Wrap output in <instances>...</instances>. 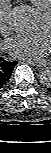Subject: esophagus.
Here are the masks:
<instances>
[{"label": "esophagus", "instance_id": "1", "mask_svg": "<svg viewBox=\"0 0 51 153\" xmlns=\"http://www.w3.org/2000/svg\"><path fill=\"white\" fill-rule=\"evenodd\" d=\"M25 61L28 62L29 64L36 65L39 67L48 66L50 64V62H48L47 60H42V61H38V62H33L30 60H25Z\"/></svg>", "mask_w": 51, "mask_h": 153}]
</instances>
